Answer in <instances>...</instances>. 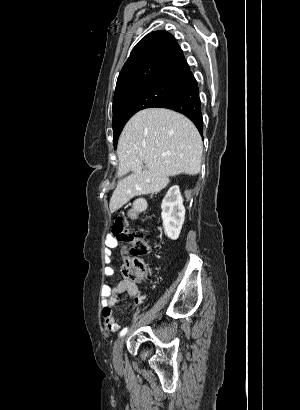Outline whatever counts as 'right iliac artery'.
I'll return each instance as SVG.
<instances>
[{"mask_svg": "<svg viewBox=\"0 0 300 410\" xmlns=\"http://www.w3.org/2000/svg\"><path fill=\"white\" fill-rule=\"evenodd\" d=\"M128 331V328H124L121 332H120V336H124Z\"/></svg>", "mask_w": 300, "mask_h": 410, "instance_id": "1", "label": "right iliac artery"}]
</instances>
